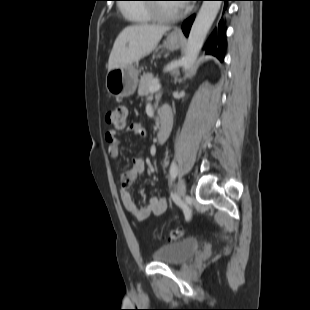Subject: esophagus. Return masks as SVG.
I'll return each mask as SVG.
<instances>
[{"label": "esophagus", "mask_w": 310, "mask_h": 310, "mask_svg": "<svg viewBox=\"0 0 310 310\" xmlns=\"http://www.w3.org/2000/svg\"><path fill=\"white\" fill-rule=\"evenodd\" d=\"M174 34H175V35H178V36H182V33H181V31H180L179 29H176V30L174 31Z\"/></svg>", "instance_id": "esophagus-1"}]
</instances>
